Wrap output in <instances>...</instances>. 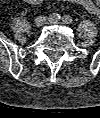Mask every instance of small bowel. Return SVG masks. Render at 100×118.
<instances>
[{"mask_svg": "<svg viewBox=\"0 0 100 118\" xmlns=\"http://www.w3.org/2000/svg\"><path fill=\"white\" fill-rule=\"evenodd\" d=\"M23 1L26 3L35 5V4H40L44 0H23ZM57 1L69 2V3H73L76 5L82 6L91 14H93L97 17L100 16V7L93 0H57ZM99 2H100V0H99Z\"/></svg>", "mask_w": 100, "mask_h": 118, "instance_id": "c3829d8e", "label": "small bowel"}]
</instances>
